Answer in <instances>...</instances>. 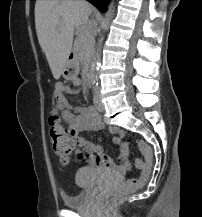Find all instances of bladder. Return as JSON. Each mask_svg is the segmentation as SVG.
<instances>
[{
    "instance_id": "31cf9c89",
    "label": "bladder",
    "mask_w": 202,
    "mask_h": 217,
    "mask_svg": "<svg viewBox=\"0 0 202 217\" xmlns=\"http://www.w3.org/2000/svg\"><path fill=\"white\" fill-rule=\"evenodd\" d=\"M102 172L92 167H81L75 175L76 185L79 192L76 195L63 194L62 203L67 207H83L87 205L91 196L92 188L97 184Z\"/></svg>"
}]
</instances>
